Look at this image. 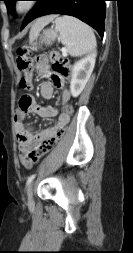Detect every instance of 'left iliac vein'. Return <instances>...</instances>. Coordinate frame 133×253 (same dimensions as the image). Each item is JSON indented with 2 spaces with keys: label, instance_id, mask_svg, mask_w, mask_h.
<instances>
[{
  "label": "left iliac vein",
  "instance_id": "left-iliac-vein-1",
  "mask_svg": "<svg viewBox=\"0 0 133 253\" xmlns=\"http://www.w3.org/2000/svg\"><path fill=\"white\" fill-rule=\"evenodd\" d=\"M28 203L30 206L34 204L33 200V185H30L28 188Z\"/></svg>",
  "mask_w": 133,
  "mask_h": 253
}]
</instances>
